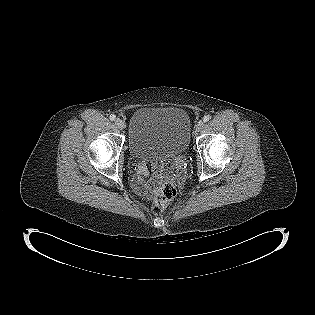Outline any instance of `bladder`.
Returning a JSON list of instances; mask_svg holds the SVG:
<instances>
[{
    "mask_svg": "<svg viewBox=\"0 0 315 315\" xmlns=\"http://www.w3.org/2000/svg\"><path fill=\"white\" fill-rule=\"evenodd\" d=\"M191 138L188 114L177 107H145L130 120L129 152L136 159L165 158L185 152Z\"/></svg>",
    "mask_w": 315,
    "mask_h": 315,
    "instance_id": "bladder-1",
    "label": "bladder"
}]
</instances>
